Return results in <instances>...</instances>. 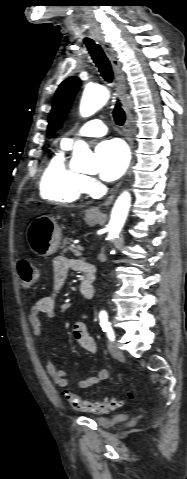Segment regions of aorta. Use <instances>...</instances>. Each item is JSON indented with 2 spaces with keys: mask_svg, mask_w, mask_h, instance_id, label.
Returning a JSON list of instances; mask_svg holds the SVG:
<instances>
[{
  "mask_svg": "<svg viewBox=\"0 0 187 479\" xmlns=\"http://www.w3.org/2000/svg\"><path fill=\"white\" fill-rule=\"evenodd\" d=\"M108 99L109 91L105 87L87 86L80 103L81 116H91L103 107ZM73 160L77 163L78 170L80 171L88 174H95L100 171V161L92 155L88 145L84 141L79 140L74 144ZM130 206L131 195L128 191H124L117 198L111 212L108 225V238L110 240L118 238L126 221Z\"/></svg>",
  "mask_w": 187,
  "mask_h": 479,
  "instance_id": "obj_1",
  "label": "aorta"
}]
</instances>
